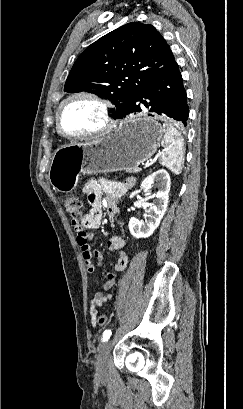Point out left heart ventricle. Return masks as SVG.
<instances>
[{
	"label": "left heart ventricle",
	"mask_w": 243,
	"mask_h": 409,
	"mask_svg": "<svg viewBox=\"0 0 243 409\" xmlns=\"http://www.w3.org/2000/svg\"><path fill=\"white\" fill-rule=\"evenodd\" d=\"M102 125L99 106L85 98H77L68 102L61 114V126L69 135L88 133Z\"/></svg>",
	"instance_id": "left-heart-ventricle-1"
}]
</instances>
